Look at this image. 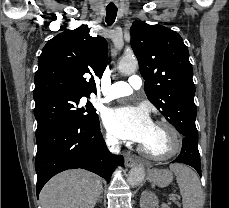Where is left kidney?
I'll list each match as a JSON object with an SVG mask.
<instances>
[{
	"label": "left kidney",
	"instance_id": "left-kidney-1",
	"mask_svg": "<svg viewBox=\"0 0 229 208\" xmlns=\"http://www.w3.org/2000/svg\"><path fill=\"white\" fill-rule=\"evenodd\" d=\"M157 198L152 192H142L140 198V208H155ZM162 208H168L167 204H162Z\"/></svg>",
	"mask_w": 229,
	"mask_h": 208
}]
</instances>
